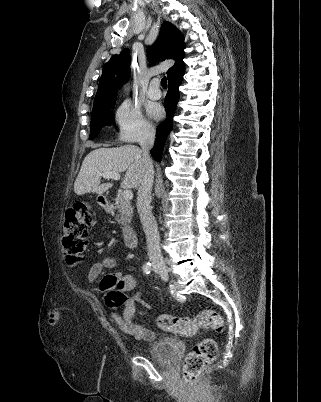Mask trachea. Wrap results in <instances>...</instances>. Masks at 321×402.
<instances>
[{
    "instance_id": "1",
    "label": "trachea",
    "mask_w": 321,
    "mask_h": 402,
    "mask_svg": "<svg viewBox=\"0 0 321 402\" xmlns=\"http://www.w3.org/2000/svg\"><path fill=\"white\" fill-rule=\"evenodd\" d=\"M161 86L163 87V88H167V79H166V77H163L162 78V80H161Z\"/></svg>"
}]
</instances>
